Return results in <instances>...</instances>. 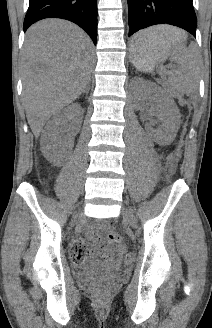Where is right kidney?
Here are the masks:
<instances>
[{
    "label": "right kidney",
    "mask_w": 212,
    "mask_h": 328,
    "mask_svg": "<svg viewBox=\"0 0 212 328\" xmlns=\"http://www.w3.org/2000/svg\"><path fill=\"white\" fill-rule=\"evenodd\" d=\"M83 119V109L78 103H74L62 111L58 112L46 125L41 143L45 152H54L62 144V135L65 142L70 143L71 136H74L80 129ZM61 127V128H60Z\"/></svg>",
    "instance_id": "1"
}]
</instances>
